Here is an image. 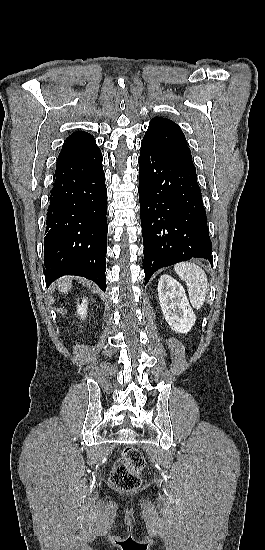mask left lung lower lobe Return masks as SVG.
<instances>
[{
    "label": "left lung lower lobe",
    "mask_w": 265,
    "mask_h": 550,
    "mask_svg": "<svg viewBox=\"0 0 265 550\" xmlns=\"http://www.w3.org/2000/svg\"><path fill=\"white\" fill-rule=\"evenodd\" d=\"M139 165L145 285L162 267L196 257L212 264L195 168L145 143H141Z\"/></svg>",
    "instance_id": "0a47b994"
}]
</instances>
